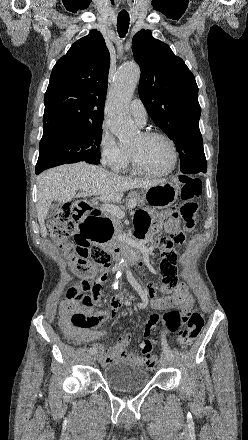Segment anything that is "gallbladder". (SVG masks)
<instances>
[{
    "mask_svg": "<svg viewBox=\"0 0 248 440\" xmlns=\"http://www.w3.org/2000/svg\"><path fill=\"white\" fill-rule=\"evenodd\" d=\"M58 210V205L57 204H52L50 207H49V210H48V213H47V218L49 219V218H51L55 213H56V211Z\"/></svg>",
    "mask_w": 248,
    "mask_h": 440,
    "instance_id": "obj_1",
    "label": "gallbladder"
}]
</instances>
